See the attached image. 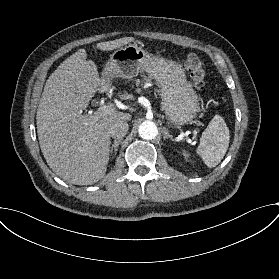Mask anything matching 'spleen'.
I'll list each match as a JSON object with an SVG mask.
<instances>
[{
	"label": "spleen",
	"mask_w": 279,
	"mask_h": 279,
	"mask_svg": "<svg viewBox=\"0 0 279 279\" xmlns=\"http://www.w3.org/2000/svg\"><path fill=\"white\" fill-rule=\"evenodd\" d=\"M229 140V129L224 120L219 115H215L201 134L195 152L208 168H214L225 156Z\"/></svg>",
	"instance_id": "3e777b00"
}]
</instances>
